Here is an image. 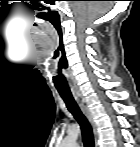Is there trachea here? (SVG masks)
<instances>
[{
  "mask_svg": "<svg viewBox=\"0 0 140 147\" xmlns=\"http://www.w3.org/2000/svg\"><path fill=\"white\" fill-rule=\"evenodd\" d=\"M60 96L64 100L68 110L80 124L84 147H95L92 127L76 103L73 95L71 93L60 92Z\"/></svg>",
  "mask_w": 140,
  "mask_h": 147,
  "instance_id": "3493384b",
  "label": "trachea"
}]
</instances>
